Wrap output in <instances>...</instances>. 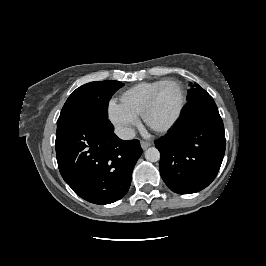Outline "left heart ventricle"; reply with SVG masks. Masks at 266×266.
<instances>
[{
  "mask_svg": "<svg viewBox=\"0 0 266 266\" xmlns=\"http://www.w3.org/2000/svg\"><path fill=\"white\" fill-rule=\"evenodd\" d=\"M180 103V89L177 84H166L159 92L155 104L149 113V123L152 127H162L176 113Z\"/></svg>",
  "mask_w": 266,
  "mask_h": 266,
  "instance_id": "1",
  "label": "left heart ventricle"
}]
</instances>
